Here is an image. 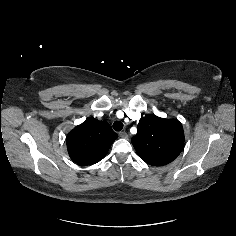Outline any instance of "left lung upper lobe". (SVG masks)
<instances>
[{"label": "left lung upper lobe", "instance_id": "obj_1", "mask_svg": "<svg viewBox=\"0 0 236 236\" xmlns=\"http://www.w3.org/2000/svg\"><path fill=\"white\" fill-rule=\"evenodd\" d=\"M137 134L131 139L139 157L153 166L175 160L184 145V132L178 120L147 115L140 119Z\"/></svg>", "mask_w": 236, "mask_h": 236}]
</instances>
